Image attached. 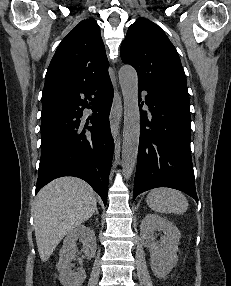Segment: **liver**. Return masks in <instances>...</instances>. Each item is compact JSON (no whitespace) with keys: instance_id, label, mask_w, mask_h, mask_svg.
<instances>
[{"instance_id":"1","label":"liver","mask_w":231,"mask_h":286,"mask_svg":"<svg viewBox=\"0 0 231 286\" xmlns=\"http://www.w3.org/2000/svg\"><path fill=\"white\" fill-rule=\"evenodd\" d=\"M93 189L76 177H61L43 187L33 207L36 243L46 262L65 235L96 211Z\"/></svg>"}]
</instances>
